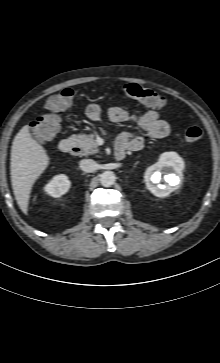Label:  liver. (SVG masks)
Masks as SVG:
<instances>
[{
    "mask_svg": "<svg viewBox=\"0 0 220 363\" xmlns=\"http://www.w3.org/2000/svg\"><path fill=\"white\" fill-rule=\"evenodd\" d=\"M49 160L44 147L32 138L29 125L22 127L12 143L10 174L15 199L24 214L28 213L33 184L48 167Z\"/></svg>",
    "mask_w": 220,
    "mask_h": 363,
    "instance_id": "6515ba94",
    "label": "liver"
}]
</instances>
